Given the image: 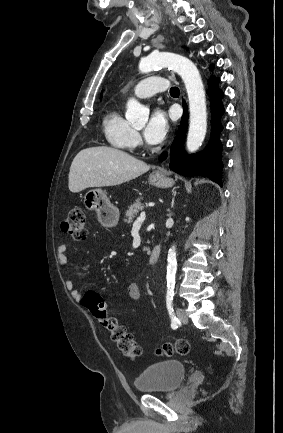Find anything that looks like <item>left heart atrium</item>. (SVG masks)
I'll list each match as a JSON object with an SVG mask.
<instances>
[{"instance_id": "left-heart-atrium-1", "label": "left heart atrium", "mask_w": 283, "mask_h": 433, "mask_svg": "<svg viewBox=\"0 0 283 433\" xmlns=\"http://www.w3.org/2000/svg\"><path fill=\"white\" fill-rule=\"evenodd\" d=\"M170 129L169 120L164 109L156 106L144 130V138L150 148H156L167 137Z\"/></svg>"}]
</instances>
